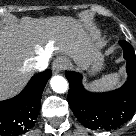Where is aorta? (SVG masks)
Instances as JSON below:
<instances>
[{"instance_id":"1","label":"aorta","mask_w":136,"mask_h":136,"mask_svg":"<svg viewBox=\"0 0 136 136\" xmlns=\"http://www.w3.org/2000/svg\"><path fill=\"white\" fill-rule=\"evenodd\" d=\"M50 85L56 93H65L68 90V82L62 76H53L50 80Z\"/></svg>"}]
</instances>
